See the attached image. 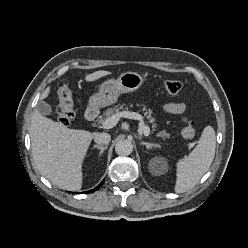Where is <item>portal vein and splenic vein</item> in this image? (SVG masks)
Here are the masks:
<instances>
[{
  "instance_id": "1",
  "label": "portal vein and splenic vein",
  "mask_w": 248,
  "mask_h": 248,
  "mask_svg": "<svg viewBox=\"0 0 248 248\" xmlns=\"http://www.w3.org/2000/svg\"><path fill=\"white\" fill-rule=\"evenodd\" d=\"M120 118H128V119H134L139 120V132L143 133L145 136H148L150 134V128L145 125L144 120L142 116L139 113L136 112H130V111H121L117 112L116 114L112 115L110 118L106 119L103 122L102 127L104 129H111L114 126L117 125Z\"/></svg>"
}]
</instances>
